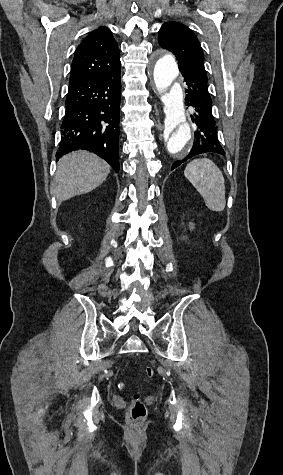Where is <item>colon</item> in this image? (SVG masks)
Masks as SVG:
<instances>
[{
	"instance_id": "5ec220e1",
	"label": "colon",
	"mask_w": 283,
	"mask_h": 475,
	"mask_svg": "<svg viewBox=\"0 0 283 475\" xmlns=\"http://www.w3.org/2000/svg\"><path fill=\"white\" fill-rule=\"evenodd\" d=\"M144 372L147 378H151L154 375V368L152 366H146ZM128 416L133 421L144 420L147 416V407L139 392L133 394Z\"/></svg>"
}]
</instances>
